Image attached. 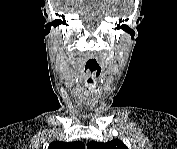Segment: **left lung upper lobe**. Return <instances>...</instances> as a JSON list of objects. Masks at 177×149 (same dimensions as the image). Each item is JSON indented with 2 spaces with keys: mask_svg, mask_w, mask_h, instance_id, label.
Here are the masks:
<instances>
[{
  "mask_svg": "<svg viewBox=\"0 0 177 149\" xmlns=\"http://www.w3.org/2000/svg\"><path fill=\"white\" fill-rule=\"evenodd\" d=\"M87 148L89 149H127L126 145L119 139L108 141L107 143L92 141L88 143Z\"/></svg>",
  "mask_w": 177,
  "mask_h": 149,
  "instance_id": "5c2ea615",
  "label": "left lung upper lobe"
}]
</instances>
